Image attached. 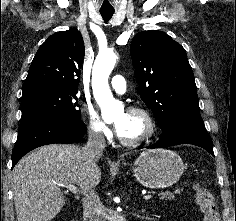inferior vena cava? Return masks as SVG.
Returning <instances> with one entry per match:
<instances>
[{"label": "inferior vena cava", "mask_w": 236, "mask_h": 221, "mask_svg": "<svg viewBox=\"0 0 236 221\" xmlns=\"http://www.w3.org/2000/svg\"><path fill=\"white\" fill-rule=\"evenodd\" d=\"M106 141L101 132L94 129L88 131V142L82 149V153L88 164H96L103 155ZM82 204L84 212L90 221H105L103 216V206L94 188H90L83 193Z\"/></svg>", "instance_id": "inferior-vena-cava-1"}]
</instances>
